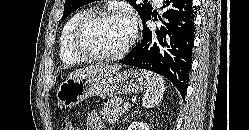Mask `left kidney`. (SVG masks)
I'll return each instance as SVG.
<instances>
[{"mask_svg":"<svg viewBox=\"0 0 249 130\" xmlns=\"http://www.w3.org/2000/svg\"><path fill=\"white\" fill-rule=\"evenodd\" d=\"M149 124L145 122H132L128 127V130H149Z\"/></svg>","mask_w":249,"mask_h":130,"instance_id":"5707ae66","label":"left kidney"}]
</instances>
